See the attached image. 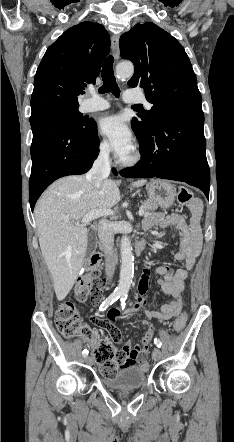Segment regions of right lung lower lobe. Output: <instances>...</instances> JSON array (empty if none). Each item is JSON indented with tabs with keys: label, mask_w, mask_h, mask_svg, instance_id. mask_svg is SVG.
<instances>
[{
	"label": "right lung lower lobe",
	"mask_w": 234,
	"mask_h": 442,
	"mask_svg": "<svg viewBox=\"0 0 234 442\" xmlns=\"http://www.w3.org/2000/svg\"><path fill=\"white\" fill-rule=\"evenodd\" d=\"M74 128L59 119H42L31 123L32 169L29 180L31 210L41 193L56 179L84 174L99 152L97 125ZM116 174V170L113 169Z\"/></svg>",
	"instance_id": "right-lung-lower-lobe-1"
}]
</instances>
